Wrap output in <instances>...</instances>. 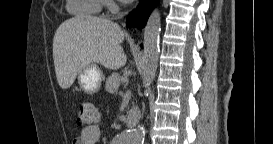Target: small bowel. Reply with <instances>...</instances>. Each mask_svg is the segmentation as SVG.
<instances>
[{"label": "small bowel", "mask_w": 273, "mask_h": 144, "mask_svg": "<svg viewBox=\"0 0 273 144\" xmlns=\"http://www.w3.org/2000/svg\"><path fill=\"white\" fill-rule=\"evenodd\" d=\"M100 139V129L97 126L82 129L73 144H97Z\"/></svg>", "instance_id": "1"}]
</instances>
